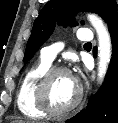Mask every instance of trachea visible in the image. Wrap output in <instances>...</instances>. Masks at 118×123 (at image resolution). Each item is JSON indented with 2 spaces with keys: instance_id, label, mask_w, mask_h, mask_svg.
<instances>
[{
  "instance_id": "trachea-1",
  "label": "trachea",
  "mask_w": 118,
  "mask_h": 123,
  "mask_svg": "<svg viewBox=\"0 0 118 123\" xmlns=\"http://www.w3.org/2000/svg\"><path fill=\"white\" fill-rule=\"evenodd\" d=\"M85 44H87V45H91V43H89V42H88V43H85Z\"/></svg>"
}]
</instances>
